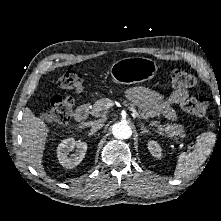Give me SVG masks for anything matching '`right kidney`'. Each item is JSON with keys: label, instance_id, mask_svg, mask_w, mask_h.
<instances>
[{"label": "right kidney", "instance_id": "obj_1", "mask_svg": "<svg viewBox=\"0 0 221 221\" xmlns=\"http://www.w3.org/2000/svg\"><path fill=\"white\" fill-rule=\"evenodd\" d=\"M75 150L73 154L69 152ZM87 151L85 142L76 141L74 138L63 140L57 148V158L59 163L65 168H74L81 163Z\"/></svg>", "mask_w": 221, "mask_h": 221}]
</instances>
